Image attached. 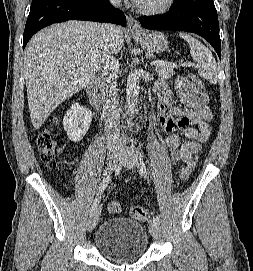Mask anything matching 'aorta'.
Wrapping results in <instances>:
<instances>
[{
	"mask_svg": "<svg viewBox=\"0 0 253 271\" xmlns=\"http://www.w3.org/2000/svg\"><path fill=\"white\" fill-rule=\"evenodd\" d=\"M139 76L136 71H133L129 73V76L127 78V88H126V103H127V112L129 115V120H128V127L131 129L133 126L132 123V117L135 112V108L138 102L139 98Z\"/></svg>",
	"mask_w": 253,
	"mask_h": 271,
	"instance_id": "obj_1",
	"label": "aorta"
}]
</instances>
